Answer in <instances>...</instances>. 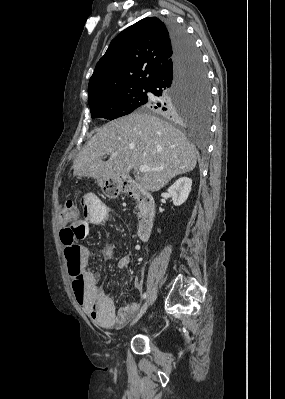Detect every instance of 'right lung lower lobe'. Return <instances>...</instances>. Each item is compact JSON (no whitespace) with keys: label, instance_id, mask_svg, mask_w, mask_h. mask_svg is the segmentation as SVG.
I'll use <instances>...</instances> for the list:
<instances>
[{"label":"right lung lower lobe","instance_id":"obj_1","mask_svg":"<svg viewBox=\"0 0 285 399\" xmlns=\"http://www.w3.org/2000/svg\"><path fill=\"white\" fill-rule=\"evenodd\" d=\"M166 25L170 33L174 53L167 68L160 71L150 85V92L157 97L169 94L171 89L180 81L196 50L194 42L183 27L174 21H170ZM162 105L167 111L173 109L171 100L165 99Z\"/></svg>","mask_w":285,"mask_h":399}]
</instances>
